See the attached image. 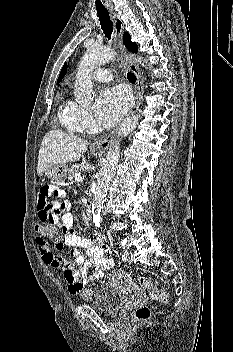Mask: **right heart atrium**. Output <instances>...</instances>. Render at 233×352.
Listing matches in <instances>:
<instances>
[{
	"mask_svg": "<svg viewBox=\"0 0 233 352\" xmlns=\"http://www.w3.org/2000/svg\"><path fill=\"white\" fill-rule=\"evenodd\" d=\"M76 105V104H75ZM77 120L81 131H87L94 125L93 115L87 108L76 105Z\"/></svg>",
	"mask_w": 233,
	"mask_h": 352,
	"instance_id": "right-heart-atrium-1",
	"label": "right heart atrium"
}]
</instances>
